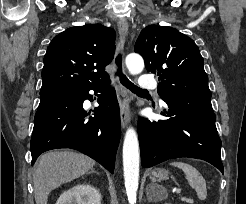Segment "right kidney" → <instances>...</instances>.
<instances>
[{
	"mask_svg": "<svg viewBox=\"0 0 246 204\" xmlns=\"http://www.w3.org/2000/svg\"><path fill=\"white\" fill-rule=\"evenodd\" d=\"M56 204H101V194L91 185L80 184L62 193Z\"/></svg>",
	"mask_w": 246,
	"mask_h": 204,
	"instance_id": "ca27d5eb",
	"label": "right kidney"
}]
</instances>
